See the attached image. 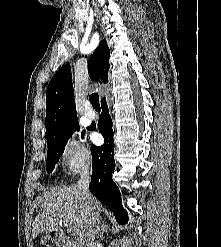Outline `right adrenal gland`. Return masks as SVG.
<instances>
[{"label":"right adrenal gland","mask_w":221,"mask_h":247,"mask_svg":"<svg viewBox=\"0 0 221 247\" xmlns=\"http://www.w3.org/2000/svg\"><path fill=\"white\" fill-rule=\"evenodd\" d=\"M108 232V227L106 225V222L105 221H102L101 223V227L99 228V235L98 237L103 239L104 237V234Z\"/></svg>","instance_id":"1"}]
</instances>
